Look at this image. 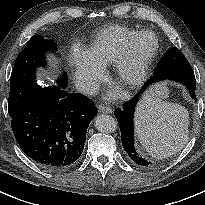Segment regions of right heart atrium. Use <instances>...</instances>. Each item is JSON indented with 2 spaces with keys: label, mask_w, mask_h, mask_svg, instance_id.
Masks as SVG:
<instances>
[{
  "label": "right heart atrium",
  "mask_w": 205,
  "mask_h": 205,
  "mask_svg": "<svg viewBox=\"0 0 205 205\" xmlns=\"http://www.w3.org/2000/svg\"><path fill=\"white\" fill-rule=\"evenodd\" d=\"M70 60L75 68V79L78 85L84 91L92 92L99 80L100 66L80 47L71 50Z\"/></svg>",
  "instance_id": "1"
}]
</instances>
